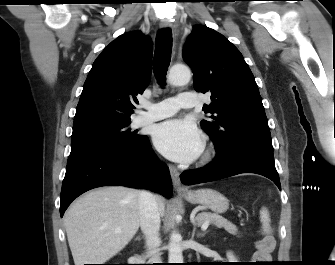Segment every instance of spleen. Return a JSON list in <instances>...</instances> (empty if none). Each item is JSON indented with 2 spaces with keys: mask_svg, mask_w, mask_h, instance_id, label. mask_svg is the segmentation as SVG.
<instances>
[{
  "mask_svg": "<svg viewBox=\"0 0 335 265\" xmlns=\"http://www.w3.org/2000/svg\"><path fill=\"white\" fill-rule=\"evenodd\" d=\"M260 218H261V221L264 224V226H267L270 218H269L268 210L266 208L261 209Z\"/></svg>",
  "mask_w": 335,
  "mask_h": 265,
  "instance_id": "3e777b00",
  "label": "spleen"
}]
</instances>
